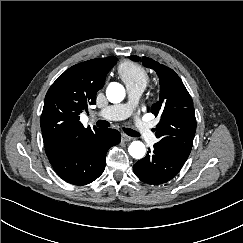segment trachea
<instances>
[{
    "mask_svg": "<svg viewBox=\"0 0 243 243\" xmlns=\"http://www.w3.org/2000/svg\"><path fill=\"white\" fill-rule=\"evenodd\" d=\"M96 125L100 128H106L110 126V123L105 120H99ZM124 131L127 135L132 137H139V133L130 129V128H124Z\"/></svg>",
    "mask_w": 243,
    "mask_h": 243,
    "instance_id": "3493384b",
    "label": "trachea"
}]
</instances>
